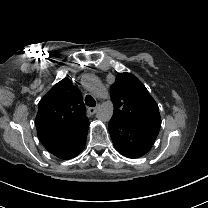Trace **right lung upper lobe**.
<instances>
[{"label":"right lung upper lobe","instance_id":"right-lung-upper-lobe-1","mask_svg":"<svg viewBox=\"0 0 208 208\" xmlns=\"http://www.w3.org/2000/svg\"><path fill=\"white\" fill-rule=\"evenodd\" d=\"M80 91L69 78L55 84L40 100L35 119L39 139L75 130L88 121Z\"/></svg>","mask_w":208,"mask_h":208}]
</instances>
